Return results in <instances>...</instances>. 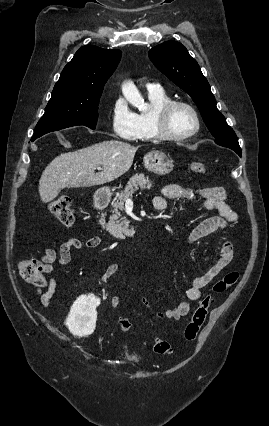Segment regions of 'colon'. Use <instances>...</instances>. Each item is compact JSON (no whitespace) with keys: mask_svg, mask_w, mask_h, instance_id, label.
<instances>
[{"mask_svg":"<svg viewBox=\"0 0 269 426\" xmlns=\"http://www.w3.org/2000/svg\"><path fill=\"white\" fill-rule=\"evenodd\" d=\"M193 172L199 175L207 173V166L203 162L194 161L190 164ZM49 210L53 217L63 226H71L75 222V208L72 200L68 196H60L52 201L49 205ZM16 269L21 280L32 286H43L45 279L43 276V268L40 261L35 258H22L18 260ZM239 279L237 271L228 272L223 278L216 281L211 289V292L206 294L199 302L192 313L190 321L184 329V338L187 341L196 339L201 327L203 326L211 305L214 303L215 295L226 292L233 287ZM122 331L127 332L132 329V322L123 318L119 321ZM153 349L158 354H169L171 345L165 340H156L153 344Z\"/></svg>","mask_w":269,"mask_h":426,"instance_id":"1","label":"colon"}]
</instances>
